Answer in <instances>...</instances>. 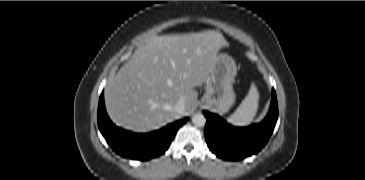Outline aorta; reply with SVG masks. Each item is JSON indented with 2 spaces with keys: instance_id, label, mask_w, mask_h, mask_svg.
Wrapping results in <instances>:
<instances>
[{
  "instance_id": "1",
  "label": "aorta",
  "mask_w": 365,
  "mask_h": 180,
  "mask_svg": "<svg viewBox=\"0 0 365 180\" xmlns=\"http://www.w3.org/2000/svg\"><path fill=\"white\" fill-rule=\"evenodd\" d=\"M192 123L196 126L203 127L206 124V118L202 113H196L192 117Z\"/></svg>"
}]
</instances>
